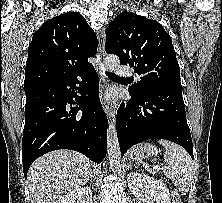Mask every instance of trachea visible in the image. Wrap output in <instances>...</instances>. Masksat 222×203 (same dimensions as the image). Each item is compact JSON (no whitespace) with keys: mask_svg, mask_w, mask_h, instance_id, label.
<instances>
[{"mask_svg":"<svg viewBox=\"0 0 222 203\" xmlns=\"http://www.w3.org/2000/svg\"><path fill=\"white\" fill-rule=\"evenodd\" d=\"M106 75L112 79H118V80H130L131 78H123V77H120L114 73H110V72H105Z\"/></svg>","mask_w":222,"mask_h":203,"instance_id":"trachea-1","label":"trachea"}]
</instances>
